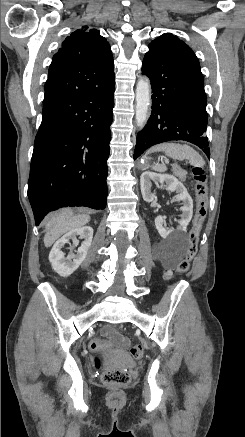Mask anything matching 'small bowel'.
<instances>
[{"mask_svg":"<svg viewBox=\"0 0 245 437\" xmlns=\"http://www.w3.org/2000/svg\"><path fill=\"white\" fill-rule=\"evenodd\" d=\"M119 341H120L121 343H125V340H123V339H119Z\"/></svg>","mask_w":245,"mask_h":437,"instance_id":"c3829d8e","label":"small bowel"}]
</instances>
